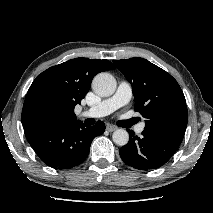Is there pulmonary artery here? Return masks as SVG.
<instances>
[{
    "label": "pulmonary artery",
    "instance_id": "e3ab8cb5",
    "mask_svg": "<svg viewBox=\"0 0 213 213\" xmlns=\"http://www.w3.org/2000/svg\"><path fill=\"white\" fill-rule=\"evenodd\" d=\"M132 96V87L127 81H121L115 92V94L107 98L100 103L90 107L89 109L83 111L81 116L99 118L106 116L116 109L126 105ZM145 128L144 123L139 124L136 127V132L138 134L142 133Z\"/></svg>",
    "mask_w": 213,
    "mask_h": 213
}]
</instances>
